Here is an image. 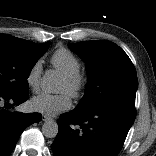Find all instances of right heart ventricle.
Segmentation results:
<instances>
[{"mask_svg":"<svg viewBox=\"0 0 156 156\" xmlns=\"http://www.w3.org/2000/svg\"><path fill=\"white\" fill-rule=\"evenodd\" d=\"M50 61L63 76L74 74L81 68L79 59L66 48L57 49L52 54Z\"/></svg>","mask_w":156,"mask_h":156,"instance_id":"e07e8e85","label":"right heart ventricle"}]
</instances>
